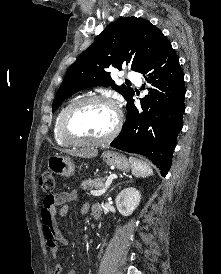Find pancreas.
Segmentation results:
<instances>
[{"label":"pancreas","instance_id":"1","mask_svg":"<svg viewBox=\"0 0 221 274\" xmlns=\"http://www.w3.org/2000/svg\"><path fill=\"white\" fill-rule=\"evenodd\" d=\"M105 178H96V179H88L86 181H83L81 184V188L84 190H89L91 188H100L105 185Z\"/></svg>","mask_w":221,"mask_h":274}]
</instances>
